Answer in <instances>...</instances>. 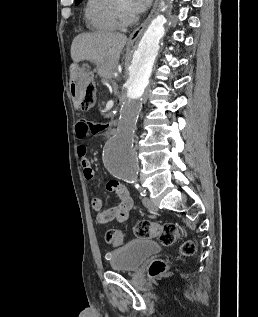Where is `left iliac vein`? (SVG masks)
<instances>
[{"instance_id": "4c4485c4", "label": "left iliac vein", "mask_w": 258, "mask_h": 317, "mask_svg": "<svg viewBox=\"0 0 258 317\" xmlns=\"http://www.w3.org/2000/svg\"><path fill=\"white\" fill-rule=\"evenodd\" d=\"M143 196V203H145V207L149 209L150 211H156L157 207L156 204L153 203L152 199L148 197L147 195H142Z\"/></svg>"}]
</instances>
